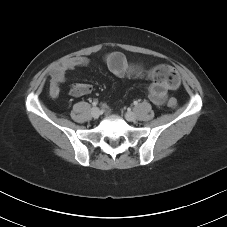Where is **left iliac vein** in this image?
Segmentation results:
<instances>
[{
    "label": "left iliac vein",
    "mask_w": 227,
    "mask_h": 227,
    "mask_svg": "<svg viewBox=\"0 0 227 227\" xmlns=\"http://www.w3.org/2000/svg\"><path fill=\"white\" fill-rule=\"evenodd\" d=\"M125 118H126L127 121H134L135 118H136V115H135L134 112L128 111V112H126V114H125Z\"/></svg>",
    "instance_id": "4c4485c4"
}]
</instances>
